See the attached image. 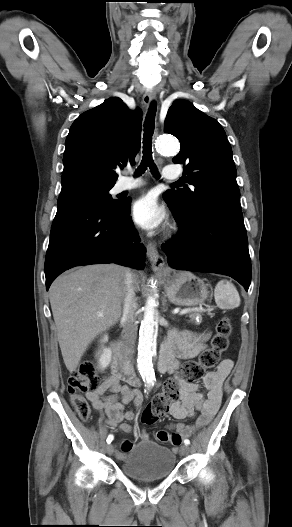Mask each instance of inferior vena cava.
Listing matches in <instances>:
<instances>
[{
  "label": "inferior vena cava",
  "mask_w": 292,
  "mask_h": 527,
  "mask_svg": "<svg viewBox=\"0 0 292 527\" xmlns=\"http://www.w3.org/2000/svg\"><path fill=\"white\" fill-rule=\"evenodd\" d=\"M125 288H124V302L123 314L121 321L123 323V331L125 335L126 345L130 356L132 357L135 349V342L137 338L138 324L136 321V310L138 307L135 297V287L133 274L130 270L125 273Z\"/></svg>",
  "instance_id": "obj_1"
}]
</instances>
